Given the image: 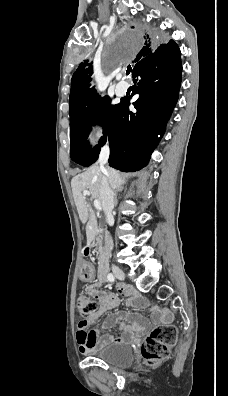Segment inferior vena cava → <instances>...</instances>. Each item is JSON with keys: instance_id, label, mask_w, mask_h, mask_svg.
<instances>
[{"instance_id": "inferior-vena-cava-1", "label": "inferior vena cava", "mask_w": 228, "mask_h": 396, "mask_svg": "<svg viewBox=\"0 0 228 396\" xmlns=\"http://www.w3.org/2000/svg\"><path fill=\"white\" fill-rule=\"evenodd\" d=\"M109 153H110L109 146L106 145L105 147L102 148L98 159L100 169L103 173L106 172V169L104 168V164H106L108 161ZM100 194H101L102 207L106 216V221L111 222L113 220L112 210L114 208V193L108 183L107 177L105 176H103L102 178Z\"/></svg>"}]
</instances>
